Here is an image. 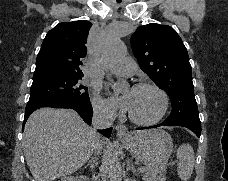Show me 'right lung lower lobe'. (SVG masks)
<instances>
[{
  "label": "right lung lower lobe",
  "instance_id": "98d812e1",
  "mask_svg": "<svg viewBox=\"0 0 228 181\" xmlns=\"http://www.w3.org/2000/svg\"><path fill=\"white\" fill-rule=\"evenodd\" d=\"M41 107H53V108H70L74 109L78 112V114L82 117V119L90 125L93 110L90 105H77L72 102L68 101H62V100H39V101H29L27 103V106L25 108V116H24V124L26 120L28 119L29 115L34 112L35 110L41 108ZM112 128L99 130L101 134L104 136L110 138Z\"/></svg>",
  "mask_w": 228,
  "mask_h": 181
}]
</instances>
